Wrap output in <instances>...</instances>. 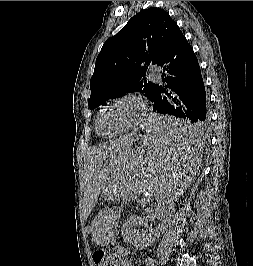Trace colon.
<instances>
[{
    "mask_svg": "<svg viewBox=\"0 0 253 266\" xmlns=\"http://www.w3.org/2000/svg\"><path fill=\"white\" fill-rule=\"evenodd\" d=\"M93 259L96 266H119L117 257L104 250L96 251Z\"/></svg>",
    "mask_w": 253,
    "mask_h": 266,
    "instance_id": "colon-1",
    "label": "colon"
}]
</instances>
